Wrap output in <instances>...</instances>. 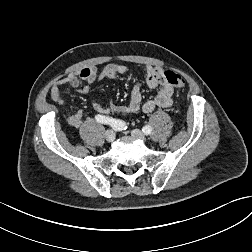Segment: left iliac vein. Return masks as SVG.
I'll use <instances>...</instances> for the list:
<instances>
[{
    "label": "left iliac vein",
    "mask_w": 252,
    "mask_h": 252,
    "mask_svg": "<svg viewBox=\"0 0 252 252\" xmlns=\"http://www.w3.org/2000/svg\"><path fill=\"white\" fill-rule=\"evenodd\" d=\"M131 135L142 140V141H146V136L138 129L132 130Z\"/></svg>",
    "instance_id": "1"
}]
</instances>
